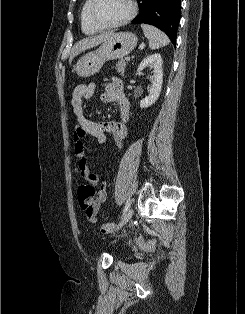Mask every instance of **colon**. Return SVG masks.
I'll return each instance as SVG.
<instances>
[{
	"mask_svg": "<svg viewBox=\"0 0 245 314\" xmlns=\"http://www.w3.org/2000/svg\"><path fill=\"white\" fill-rule=\"evenodd\" d=\"M77 197L80 208L86 213L91 214L94 210V198L95 190L92 185L81 184L77 189ZM115 223H103L101 225V231L103 233H110L116 229ZM136 244L144 250H154L153 243L149 241H144L142 239H137Z\"/></svg>",
	"mask_w": 245,
	"mask_h": 314,
	"instance_id": "obj_1",
	"label": "colon"
}]
</instances>
